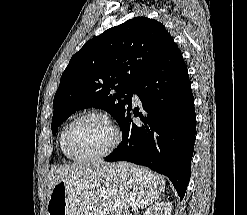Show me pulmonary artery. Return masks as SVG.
Segmentation results:
<instances>
[{
    "label": "pulmonary artery",
    "mask_w": 247,
    "mask_h": 215,
    "mask_svg": "<svg viewBox=\"0 0 247 215\" xmlns=\"http://www.w3.org/2000/svg\"><path fill=\"white\" fill-rule=\"evenodd\" d=\"M133 101H134L135 103H139V97L137 96V94H134V95H133Z\"/></svg>",
    "instance_id": "e3ab8cb5"
}]
</instances>
